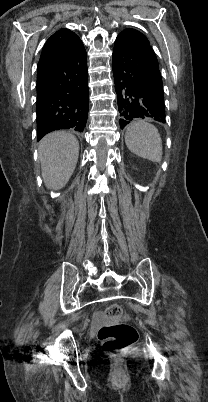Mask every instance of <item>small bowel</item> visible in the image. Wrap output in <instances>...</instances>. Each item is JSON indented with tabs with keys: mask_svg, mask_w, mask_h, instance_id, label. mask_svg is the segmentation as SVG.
<instances>
[{
	"mask_svg": "<svg viewBox=\"0 0 208 402\" xmlns=\"http://www.w3.org/2000/svg\"><path fill=\"white\" fill-rule=\"evenodd\" d=\"M93 322L95 324H101L103 322V317L101 315H95L93 317Z\"/></svg>",
	"mask_w": 208,
	"mask_h": 402,
	"instance_id": "1",
	"label": "small bowel"
}]
</instances>
